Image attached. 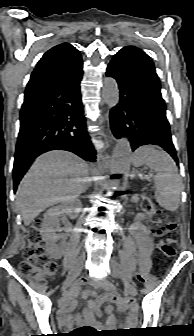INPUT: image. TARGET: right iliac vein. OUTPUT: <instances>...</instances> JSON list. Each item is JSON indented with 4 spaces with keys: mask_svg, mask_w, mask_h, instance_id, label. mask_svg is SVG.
Segmentation results:
<instances>
[{
    "mask_svg": "<svg viewBox=\"0 0 194 336\" xmlns=\"http://www.w3.org/2000/svg\"><path fill=\"white\" fill-rule=\"evenodd\" d=\"M85 262V256H81L79 257V259L77 260L76 265L72 268V270L70 271V273L68 274L65 282L63 283L62 286V290L65 291L68 287H70L75 280L78 278V276L80 275L83 265Z\"/></svg>",
    "mask_w": 194,
    "mask_h": 336,
    "instance_id": "63e3f726",
    "label": "right iliac vein"
}]
</instances>
